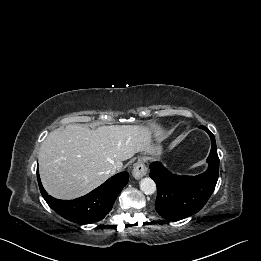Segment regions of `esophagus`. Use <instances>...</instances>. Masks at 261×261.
Returning <instances> with one entry per match:
<instances>
[{"label": "esophagus", "instance_id": "obj_1", "mask_svg": "<svg viewBox=\"0 0 261 261\" xmlns=\"http://www.w3.org/2000/svg\"><path fill=\"white\" fill-rule=\"evenodd\" d=\"M147 174V168L141 160H138L133 167L132 175L135 179H141Z\"/></svg>", "mask_w": 261, "mask_h": 261}]
</instances>
